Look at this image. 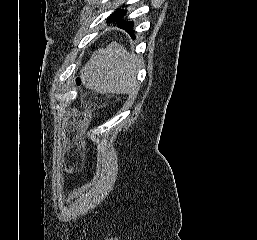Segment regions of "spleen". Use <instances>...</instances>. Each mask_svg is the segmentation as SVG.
<instances>
[{
  "label": "spleen",
  "mask_w": 257,
  "mask_h": 240,
  "mask_svg": "<svg viewBox=\"0 0 257 240\" xmlns=\"http://www.w3.org/2000/svg\"><path fill=\"white\" fill-rule=\"evenodd\" d=\"M140 62L112 42L99 50L83 69L86 85L100 93L125 94L139 89Z\"/></svg>",
  "instance_id": "3e777b00"
}]
</instances>
